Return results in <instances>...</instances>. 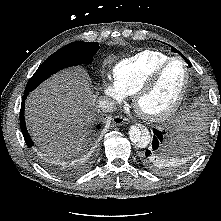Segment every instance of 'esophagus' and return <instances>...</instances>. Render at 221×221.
<instances>
[{
  "instance_id": "esophagus-1",
  "label": "esophagus",
  "mask_w": 221,
  "mask_h": 221,
  "mask_svg": "<svg viewBox=\"0 0 221 221\" xmlns=\"http://www.w3.org/2000/svg\"><path fill=\"white\" fill-rule=\"evenodd\" d=\"M114 125H122L127 122V119L122 116H115L112 120Z\"/></svg>"
}]
</instances>
